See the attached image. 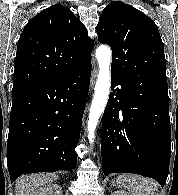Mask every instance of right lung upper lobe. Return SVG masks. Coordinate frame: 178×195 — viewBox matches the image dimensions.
<instances>
[{
  "label": "right lung upper lobe",
  "instance_id": "cb5924a9",
  "mask_svg": "<svg viewBox=\"0 0 178 195\" xmlns=\"http://www.w3.org/2000/svg\"><path fill=\"white\" fill-rule=\"evenodd\" d=\"M93 40L72 11L56 4L32 18L17 45L13 87L72 75L91 63Z\"/></svg>",
  "mask_w": 178,
  "mask_h": 195
}]
</instances>
